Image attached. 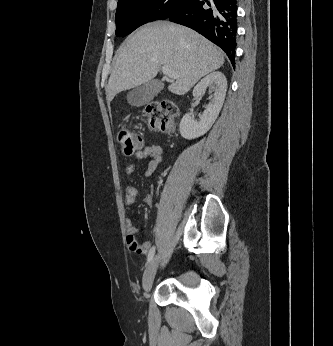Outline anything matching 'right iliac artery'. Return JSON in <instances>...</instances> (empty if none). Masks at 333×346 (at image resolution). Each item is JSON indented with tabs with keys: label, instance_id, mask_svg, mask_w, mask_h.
Here are the masks:
<instances>
[{
	"label": "right iliac artery",
	"instance_id": "82829eb1",
	"mask_svg": "<svg viewBox=\"0 0 333 346\" xmlns=\"http://www.w3.org/2000/svg\"><path fill=\"white\" fill-rule=\"evenodd\" d=\"M154 254H155V246H153L148 253L147 263H149L153 259Z\"/></svg>",
	"mask_w": 333,
	"mask_h": 346
}]
</instances>
